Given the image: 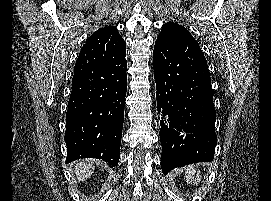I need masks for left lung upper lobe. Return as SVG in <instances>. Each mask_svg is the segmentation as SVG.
<instances>
[{
    "mask_svg": "<svg viewBox=\"0 0 271 201\" xmlns=\"http://www.w3.org/2000/svg\"><path fill=\"white\" fill-rule=\"evenodd\" d=\"M183 26L178 25L177 23L174 22H167L162 26V30L157 37L156 41H166L167 39L172 38V36L176 35L177 31L179 29H182Z\"/></svg>",
    "mask_w": 271,
    "mask_h": 201,
    "instance_id": "obj_1",
    "label": "left lung upper lobe"
}]
</instances>
